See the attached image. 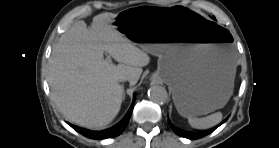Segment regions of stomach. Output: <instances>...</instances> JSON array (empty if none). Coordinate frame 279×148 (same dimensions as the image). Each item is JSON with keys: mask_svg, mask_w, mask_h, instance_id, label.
<instances>
[{"mask_svg": "<svg viewBox=\"0 0 279 148\" xmlns=\"http://www.w3.org/2000/svg\"><path fill=\"white\" fill-rule=\"evenodd\" d=\"M113 25L159 57L154 78L170 87L180 115H205L229 100L236 70L231 39L202 13L178 6L131 5Z\"/></svg>", "mask_w": 279, "mask_h": 148, "instance_id": "stomach-1", "label": "stomach"}]
</instances>
